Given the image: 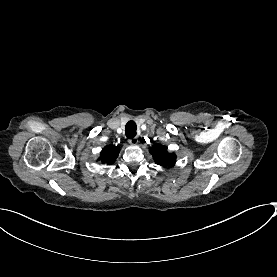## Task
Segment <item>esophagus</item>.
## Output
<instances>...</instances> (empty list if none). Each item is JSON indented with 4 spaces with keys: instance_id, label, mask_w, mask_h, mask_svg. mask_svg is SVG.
Wrapping results in <instances>:
<instances>
[{
    "instance_id": "1",
    "label": "esophagus",
    "mask_w": 277,
    "mask_h": 277,
    "mask_svg": "<svg viewBox=\"0 0 277 277\" xmlns=\"http://www.w3.org/2000/svg\"><path fill=\"white\" fill-rule=\"evenodd\" d=\"M128 143L135 146L138 144V138L137 137H134L132 139H128Z\"/></svg>"
}]
</instances>
